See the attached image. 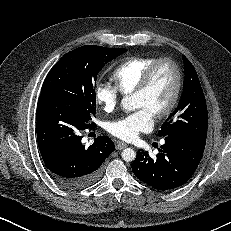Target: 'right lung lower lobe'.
I'll use <instances>...</instances> for the list:
<instances>
[{"label": "right lung lower lobe", "mask_w": 231, "mask_h": 231, "mask_svg": "<svg viewBox=\"0 0 231 231\" xmlns=\"http://www.w3.org/2000/svg\"><path fill=\"white\" fill-rule=\"evenodd\" d=\"M70 106L51 96H39L36 110L37 141L42 159L52 177L62 187L78 190L94 183L103 162L115 148L106 136L85 147L80 132L93 129Z\"/></svg>", "instance_id": "98d812e1"}]
</instances>
